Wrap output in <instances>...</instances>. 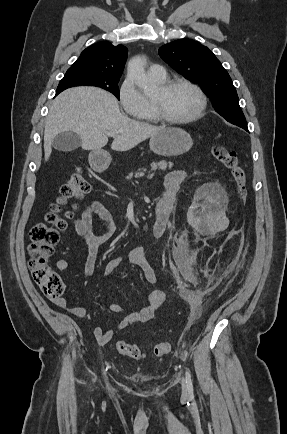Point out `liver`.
<instances>
[{
    "label": "liver",
    "mask_w": 287,
    "mask_h": 434,
    "mask_svg": "<svg viewBox=\"0 0 287 434\" xmlns=\"http://www.w3.org/2000/svg\"><path fill=\"white\" fill-rule=\"evenodd\" d=\"M164 129L123 115L115 97L105 90L71 88L58 95L50 107L44 129L45 161L51 155L54 138L63 132L76 133L86 150L107 145L106 132H112L111 148L128 151Z\"/></svg>",
    "instance_id": "6515ba94"
}]
</instances>
